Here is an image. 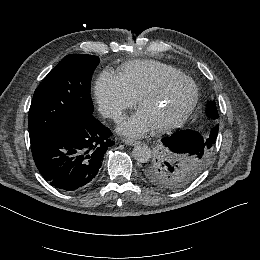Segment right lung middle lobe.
<instances>
[{"mask_svg": "<svg viewBox=\"0 0 260 260\" xmlns=\"http://www.w3.org/2000/svg\"><path fill=\"white\" fill-rule=\"evenodd\" d=\"M98 64L94 55H67L44 78L29 110L31 146L93 114L90 82Z\"/></svg>", "mask_w": 260, "mask_h": 260, "instance_id": "dd1d6c3e", "label": "right lung middle lobe"}]
</instances>
